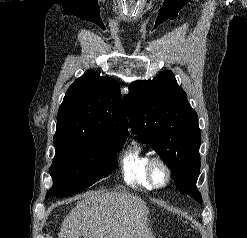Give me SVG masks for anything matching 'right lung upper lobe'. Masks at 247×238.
<instances>
[{"mask_svg": "<svg viewBox=\"0 0 247 238\" xmlns=\"http://www.w3.org/2000/svg\"><path fill=\"white\" fill-rule=\"evenodd\" d=\"M128 122L116 80L87 71L67 90L57 114L54 138L82 136L125 141Z\"/></svg>", "mask_w": 247, "mask_h": 238, "instance_id": "obj_1", "label": "right lung upper lobe"}]
</instances>
